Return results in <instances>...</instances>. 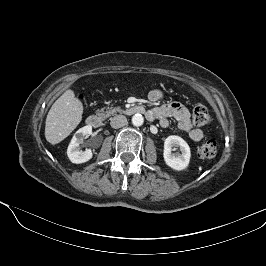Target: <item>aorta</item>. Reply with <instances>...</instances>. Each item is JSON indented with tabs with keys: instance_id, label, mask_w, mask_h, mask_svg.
<instances>
[{
	"instance_id": "1",
	"label": "aorta",
	"mask_w": 266,
	"mask_h": 266,
	"mask_svg": "<svg viewBox=\"0 0 266 266\" xmlns=\"http://www.w3.org/2000/svg\"><path fill=\"white\" fill-rule=\"evenodd\" d=\"M144 122V118L141 114H135L132 117V123L134 126H141Z\"/></svg>"
}]
</instances>
